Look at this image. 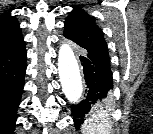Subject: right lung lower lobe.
Returning a JSON list of instances; mask_svg holds the SVG:
<instances>
[{
  "instance_id": "98d812e1",
  "label": "right lung lower lobe",
  "mask_w": 153,
  "mask_h": 134,
  "mask_svg": "<svg viewBox=\"0 0 153 134\" xmlns=\"http://www.w3.org/2000/svg\"><path fill=\"white\" fill-rule=\"evenodd\" d=\"M25 42L0 53V134H13L24 87Z\"/></svg>"
}]
</instances>
